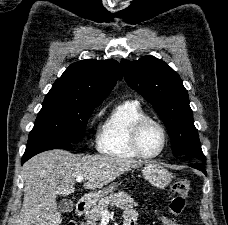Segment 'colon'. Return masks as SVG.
I'll use <instances>...</instances> for the list:
<instances>
[{
    "label": "colon",
    "instance_id": "5ec220e1",
    "mask_svg": "<svg viewBox=\"0 0 228 225\" xmlns=\"http://www.w3.org/2000/svg\"><path fill=\"white\" fill-rule=\"evenodd\" d=\"M190 183L186 179H178L171 186L172 200L169 210L173 217H179L183 214L186 199L188 198Z\"/></svg>",
    "mask_w": 228,
    "mask_h": 225
}]
</instances>
